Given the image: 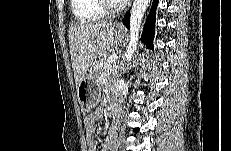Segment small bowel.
Returning a JSON list of instances; mask_svg holds the SVG:
<instances>
[{"label":"small bowel","instance_id":"c3829d8e","mask_svg":"<svg viewBox=\"0 0 231 151\" xmlns=\"http://www.w3.org/2000/svg\"><path fill=\"white\" fill-rule=\"evenodd\" d=\"M102 117V110L98 109L85 119L86 140L88 151H96V144L93 140L95 131L94 123ZM107 145L101 151H116L117 148V132L116 126L112 125L107 133Z\"/></svg>","mask_w":231,"mask_h":151}]
</instances>
